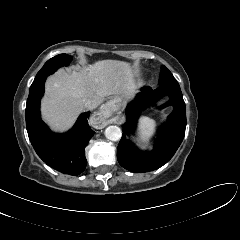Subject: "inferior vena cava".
<instances>
[{
  "label": "inferior vena cava",
  "mask_w": 240,
  "mask_h": 240,
  "mask_svg": "<svg viewBox=\"0 0 240 240\" xmlns=\"http://www.w3.org/2000/svg\"><path fill=\"white\" fill-rule=\"evenodd\" d=\"M83 106L85 109H88V110H92L97 107V105L91 100H87Z\"/></svg>",
  "instance_id": "1"
}]
</instances>
